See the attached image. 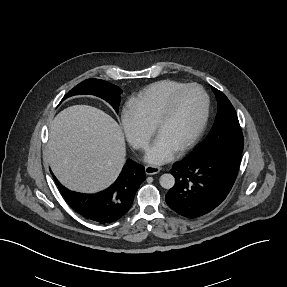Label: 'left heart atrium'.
<instances>
[{
    "instance_id": "obj_1",
    "label": "left heart atrium",
    "mask_w": 287,
    "mask_h": 287,
    "mask_svg": "<svg viewBox=\"0 0 287 287\" xmlns=\"http://www.w3.org/2000/svg\"><path fill=\"white\" fill-rule=\"evenodd\" d=\"M175 152V148L162 138L157 137L148 148L145 159L150 163L160 164L170 160Z\"/></svg>"
}]
</instances>
